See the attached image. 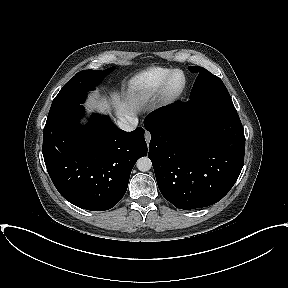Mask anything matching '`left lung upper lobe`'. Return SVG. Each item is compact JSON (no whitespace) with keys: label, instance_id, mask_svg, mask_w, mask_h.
I'll list each match as a JSON object with an SVG mask.
<instances>
[{"label":"left lung upper lobe","instance_id":"obj_1","mask_svg":"<svg viewBox=\"0 0 288 288\" xmlns=\"http://www.w3.org/2000/svg\"><path fill=\"white\" fill-rule=\"evenodd\" d=\"M188 69L193 73H199L191 91V100L236 111L228 90L219 77L203 67L189 66Z\"/></svg>","mask_w":288,"mask_h":288}]
</instances>
